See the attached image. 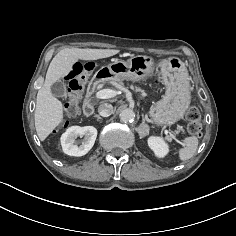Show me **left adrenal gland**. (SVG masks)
Segmentation results:
<instances>
[{
  "label": "left adrenal gland",
  "mask_w": 236,
  "mask_h": 236,
  "mask_svg": "<svg viewBox=\"0 0 236 236\" xmlns=\"http://www.w3.org/2000/svg\"><path fill=\"white\" fill-rule=\"evenodd\" d=\"M145 128H148V125L145 123V119L143 118L142 123L137 128V131H138L139 135H142V132Z\"/></svg>",
  "instance_id": "obj_1"
}]
</instances>
